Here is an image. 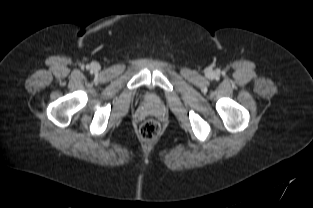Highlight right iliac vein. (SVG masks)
Returning <instances> with one entry per match:
<instances>
[{
	"label": "right iliac vein",
	"instance_id": "obj_1",
	"mask_svg": "<svg viewBox=\"0 0 313 208\" xmlns=\"http://www.w3.org/2000/svg\"><path fill=\"white\" fill-rule=\"evenodd\" d=\"M91 70H98L99 69V65L97 63H92L90 66Z\"/></svg>",
	"mask_w": 313,
	"mask_h": 208
}]
</instances>
